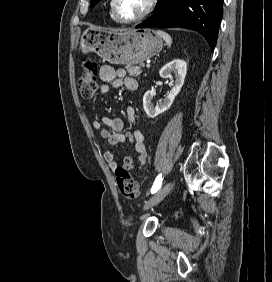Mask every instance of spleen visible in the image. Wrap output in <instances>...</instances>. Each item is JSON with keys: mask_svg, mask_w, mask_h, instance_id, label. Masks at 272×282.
Segmentation results:
<instances>
[{"mask_svg": "<svg viewBox=\"0 0 272 282\" xmlns=\"http://www.w3.org/2000/svg\"><path fill=\"white\" fill-rule=\"evenodd\" d=\"M156 34H157L159 37H161V38H163V39L165 40V42H166V44L168 45V47L171 46V44H172V38H171V36H170L168 33L164 32V31H161V30H157V31H156Z\"/></svg>", "mask_w": 272, "mask_h": 282, "instance_id": "3e777b00", "label": "spleen"}]
</instances>
